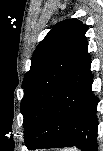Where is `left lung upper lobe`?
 Masks as SVG:
<instances>
[{
  "instance_id": "1",
  "label": "left lung upper lobe",
  "mask_w": 103,
  "mask_h": 151,
  "mask_svg": "<svg viewBox=\"0 0 103 151\" xmlns=\"http://www.w3.org/2000/svg\"><path fill=\"white\" fill-rule=\"evenodd\" d=\"M87 30L88 26L81 21L66 19L57 23L39 43L31 58L30 70L25 74L22 82L24 97L21 101V112L23 115L27 110L31 81L48 63L83 37Z\"/></svg>"
}]
</instances>
